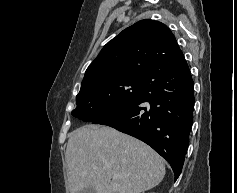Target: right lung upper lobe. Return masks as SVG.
<instances>
[{
    "label": "right lung upper lobe",
    "instance_id": "obj_1",
    "mask_svg": "<svg viewBox=\"0 0 237 193\" xmlns=\"http://www.w3.org/2000/svg\"><path fill=\"white\" fill-rule=\"evenodd\" d=\"M180 51L170 29L144 19L108 42L85 72L81 87L102 80L145 76L162 59Z\"/></svg>",
    "mask_w": 237,
    "mask_h": 193
}]
</instances>
